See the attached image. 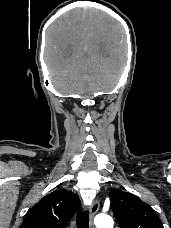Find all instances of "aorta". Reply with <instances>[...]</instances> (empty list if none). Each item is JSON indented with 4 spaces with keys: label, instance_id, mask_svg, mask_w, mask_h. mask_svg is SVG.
Segmentation results:
<instances>
[{
    "label": "aorta",
    "instance_id": "obj_1",
    "mask_svg": "<svg viewBox=\"0 0 171 228\" xmlns=\"http://www.w3.org/2000/svg\"><path fill=\"white\" fill-rule=\"evenodd\" d=\"M113 219L107 214H99L95 218L97 228H113Z\"/></svg>",
    "mask_w": 171,
    "mask_h": 228
}]
</instances>
